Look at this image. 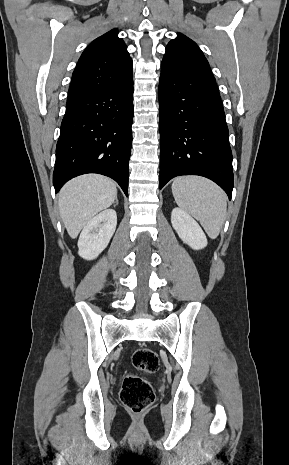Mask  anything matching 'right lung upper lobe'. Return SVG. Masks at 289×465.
Masks as SVG:
<instances>
[{"mask_svg":"<svg viewBox=\"0 0 289 465\" xmlns=\"http://www.w3.org/2000/svg\"><path fill=\"white\" fill-rule=\"evenodd\" d=\"M132 75V59L113 29L95 39L82 53L72 74L68 101L115 87Z\"/></svg>","mask_w":289,"mask_h":465,"instance_id":"cb5924a9","label":"right lung upper lobe"}]
</instances>
